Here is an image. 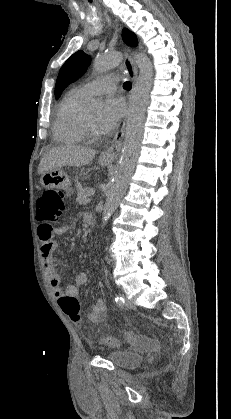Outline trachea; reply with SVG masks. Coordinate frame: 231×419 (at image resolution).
Returning <instances> with one entry per match:
<instances>
[{
    "mask_svg": "<svg viewBox=\"0 0 231 419\" xmlns=\"http://www.w3.org/2000/svg\"><path fill=\"white\" fill-rule=\"evenodd\" d=\"M124 88L127 89V90H130L131 89V83L129 81H126L124 83Z\"/></svg>",
    "mask_w": 231,
    "mask_h": 419,
    "instance_id": "1",
    "label": "trachea"
}]
</instances>
